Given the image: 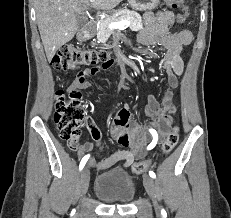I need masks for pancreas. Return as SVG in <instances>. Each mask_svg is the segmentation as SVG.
<instances>
[{"instance_id":"cf45deb5","label":"pancreas","mask_w":231,"mask_h":218,"mask_svg":"<svg viewBox=\"0 0 231 218\" xmlns=\"http://www.w3.org/2000/svg\"><path fill=\"white\" fill-rule=\"evenodd\" d=\"M128 21L132 30H141L143 28L141 17L128 9L115 11L114 14L101 21L97 27V39L105 43L111 35H115L116 30L108 26L111 22Z\"/></svg>"}]
</instances>
